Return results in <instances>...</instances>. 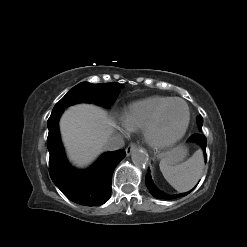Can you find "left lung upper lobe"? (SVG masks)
I'll use <instances>...</instances> for the list:
<instances>
[{"label": "left lung upper lobe", "mask_w": 247, "mask_h": 247, "mask_svg": "<svg viewBox=\"0 0 247 247\" xmlns=\"http://www.w3.org/2000/svg\"><path fill=\"white\" fill-rule=\"evenodd\" d=\"M198 124H199V129H202V125H203V118L201 115L198 116Z\"/></svg>", "instance_id": "1"}]
</instances>
